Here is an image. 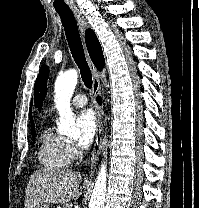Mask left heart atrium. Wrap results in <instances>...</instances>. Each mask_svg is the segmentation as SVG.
I'll return each instance as SVG.
<instances>
[{
	"label": "left heart atrium",
	"mask_w": 199,
	"mask_h": 208,
	"mask_svg": "<svg viewBox=\"0 0 199 208\" xmlns=\"http://www.w3.org/2000/svg\"><path fill=\"white\" fill-rule=\"evenodd\" d=\"M78 128L81 132L80 146H89L96 133V120L94 113L90 109L83 110L76 118Z\"/></svg>",
	"instance_id": "39dd6f15"
}]
</instances>
